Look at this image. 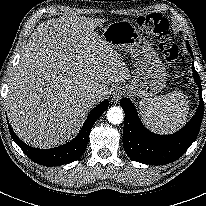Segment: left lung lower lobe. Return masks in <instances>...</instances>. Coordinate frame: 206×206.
I'll return each mask as SVG.
<instances>
[{
	"instance_id": "left-lung-lower-lobe-1",
	"label": "left lung lower lobe",
	"mask_w": 206,
	"mask_h": 206,
	"mask_svg": "<svg viewBox=\"0 0 206 206\" xmlns=\"http://www.w3.org/2000/svg\"><path fill=\"white\" fill-rule=\"evenodd\" d=\"M187 46L193 57L190 45ZM192 71L199 87L200 104L193 118L174 134L157 135L148 131L141 123L134 104L127 98L120 100L125 112L123 146L132 160L150 165L168 164L182 156L195 141L202 122L204 106L201 83L194 63Z\"/></svg>"
}]
</instances>
